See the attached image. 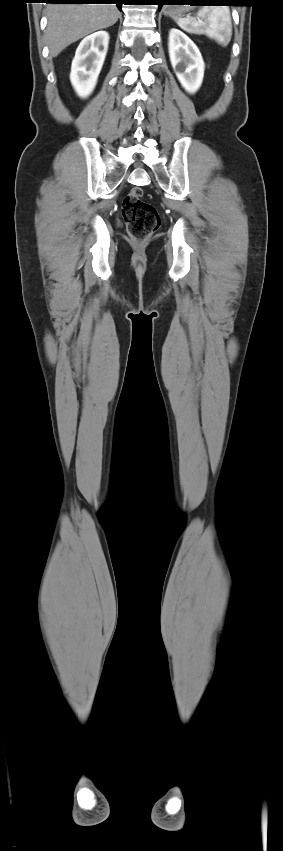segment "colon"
I'll return each mask as SVG.
<instances>
[{
    "label": "colon",
    "mask_w": 283,
    "mask_h": 851,
    "mask_svg": "<svg viewBox=\"0 0 283 851\" xmlns=\"http://www.w3.org/2000/svg\"><path fill=\"white\" fill-rule=\"evenodd\" d=\"M141 187H132L124 197L122 215L131 238L138 244L145 242L159 227L160 216L151 203L141 199Z\"/></svg>",
    "instance_id": "1"
}]
</instances>
